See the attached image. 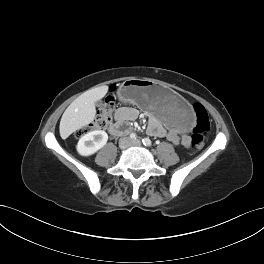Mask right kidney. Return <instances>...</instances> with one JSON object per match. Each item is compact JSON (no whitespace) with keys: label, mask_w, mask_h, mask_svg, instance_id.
I'll use <instances>...</instances> for the list:
<instances>
[{"label":"right kidney","mask_w":264,"mask_h":264,"mask_svg":"<svg viewBox=\"0 0 264 264\" xmlns=\"http://www.w3.org/2000/svg\"><path fill=\"white\" fill-rule=\"evenodd\" d=\"M108 135L105 131L95 130L82 136L77 143V152L81 156H90L100 150L107 143Z\"/></svg>","instance_id":"1"}]
</instances>
